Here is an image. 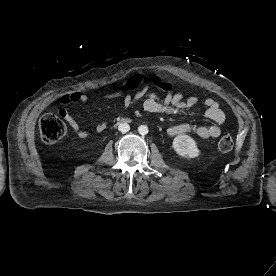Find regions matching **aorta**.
Listing matches in <instances>:
<instances>
[{"mask_svg": "<svg viewBox=\"0 0 276 276\" xmlns=\"http://www.w3.org/2000/svg\"><path fill=\"white\" fill-rule=\"evenodd\" d=\"M138 132L141 134V135H146L148 133V127L146 125H140L138 127Z\"/></svg>", "mask_w": 276, "mask_h": 276, "instance_id": "aorta-1", "label": "aorta"}]
</instances>
